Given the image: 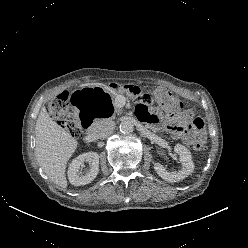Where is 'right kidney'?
<instances>
[{
  "label": "right kidney",
  "instance_id": "1",
  "mask_svg": "<svg viewBox=\"0 0 248 248\" xmlns=\"http://www.w3.org/2000/svg\"><path fill=\"white\" fill-rule=\"evenodd\" d=\"M84 162L89 164V169L82 172ZM99 172V155L95 152H87L76 157L69 165L68 179L74 186L91 183Z\"/></svg>",
  "mask_w": 248,
  "mask_h": 248
}]
</instances>
